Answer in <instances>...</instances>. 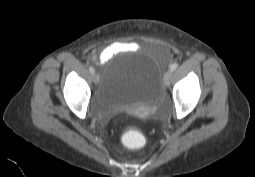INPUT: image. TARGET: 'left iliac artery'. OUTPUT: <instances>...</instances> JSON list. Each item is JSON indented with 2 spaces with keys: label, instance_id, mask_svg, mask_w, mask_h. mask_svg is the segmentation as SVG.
I'll list each match as a JSON object with an SVG mask.
<instances>
[{
  "label": "left iliac artery",
  "instance_id": "1",
  "mask_svg": "<svg viewBox=\"0 0 255 177\" xmlns=\"http://www.w3.org/2000/svg\"><path fill=\"white\" fill-rule=\"evenodd\" d=\"M177 67H178V64H177V63H173V64L170 66V70H171V71H174Z\"/></svg>",
  "mask_w": 255,
  "mask_h": 177
}]
</instances>
